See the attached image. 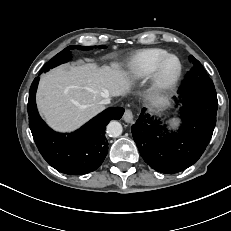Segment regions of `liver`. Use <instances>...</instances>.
Segmentation results:
<instances>
[{
	"label": "liver",
	"mask_w": 231,
	"mask_h": 231,
	"mask_svg": "<svg viewBox=\"0 0 231 231\" xmlns=\"http://www.w3.org/2000/svg\"><path fill=\"white\" fill-rule=\"evenodd\" d=\"M131 81L121 65H62L41 77L36 101L40 114L57 131L80 127L101 110L103 98L129 92Z\"/></svg>",
	"instance_id": "liver-1"
}]
</instances>
